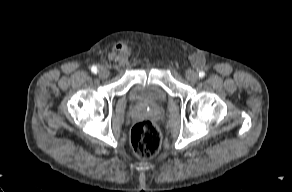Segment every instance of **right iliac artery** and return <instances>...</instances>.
I'll list each match as a JSON object with an SVG mask.
<instances>
[{
    "label": "right iliac artery",
    "instance_id": "1",
    "mask_svg": "<svg viewBox=\"0 0 292 192\" xmlns=\"http://www.w3.org/2000/svg\"><path fill=\"white\" fill-rule=\"evenodd\" d=\"M91 71H92L93 73H97L98 69H97L96 66H92V67H91Z\"/></svg>",
    "mask_w": 292,
    "mask_h": 192
}]
</instances>
